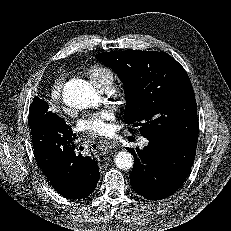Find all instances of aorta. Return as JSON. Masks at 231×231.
<instances>
[{
    "label": "aorta",
    "mask_w": 231,
    "mask_h": 231,
    "mask_svg": "<svg viewBox=\"0 0 231 231\" xmlns=\"http://www.w3.org/2000/svg\"><path fill=\"white\" fill-rule=\"evenodd\" d=\"M63 101L72 108L85 109L98 105L99 96L93 86L83 79H72L63 87ZM115 165L121 170L133 167L134 159L131 153L119 151L114 158Z\"/></svg>",
    "instance_id": "762f6f07"
}]
</instances>
